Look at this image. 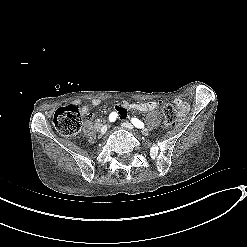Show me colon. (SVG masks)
I'll list each match as a JSON object with an SVG mask.
<instances>
[{
  "mask_svg": "<svg viewBox=\"0 0 247 247\" xmlns=\"http://www.w3.org/2000/svg\"><path fill=\"white\" fill-rule=\"evenodd\" d=\"M162 113L166 126L172 127L178 120V112L171 104H163ZM55 128L64 136L76 134L82 125V114L75 105L58 108L53 116Z\"/></svg>",
  "mask_w": 247,
  "mask_h": 247,
  "instance_id": "obj_1",
  "label": "colon"
}]
</instances>
